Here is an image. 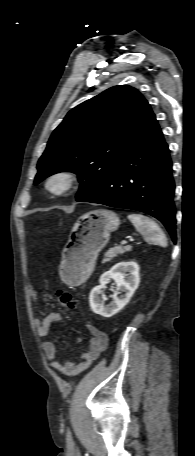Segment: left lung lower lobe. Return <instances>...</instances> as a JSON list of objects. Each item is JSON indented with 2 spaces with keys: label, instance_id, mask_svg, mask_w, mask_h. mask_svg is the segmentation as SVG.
<instances>
[{
  "label": "left lung lower lobe",
  "instance_id": "left-lung-lower-lobe-1",
  "mask_svg": "<svg viewBox=\"0 0 195 456\" xmlns=\"http://www.w3.org/2000/svg\"><path fill=\"white\" fill-rule=\"evenodd\" d=\"M174 190L168 145L150 110L103 185L83 201L147 213L159 219L176 242Z\"/></svg>",
  "mask_w": 195,
  "mask_h": 456
}]
</instances>
